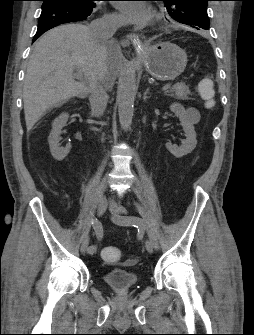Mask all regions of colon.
Listing matches in <instances>:
<instances>
[{
	"mask_svg": "<svg viewBox=\"0 0 254 335\" xmlns=\"http://www.w3.org/2000/svg\"><path fill=\"white\" fill-rule=\"evenodd\" d=\"M196 90L207 108L214 106V84L210 78H202L196 83ZM102 258L108 263L120 260L121 252L116 247H105L101 252Z\"/></svg>",
	"mask_w": 254,
	"mask_h": 335,
	"instance_id": "1",
	"label": "colon"
}]
</instances>
